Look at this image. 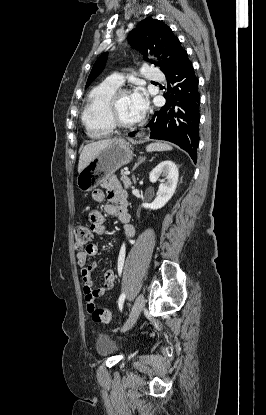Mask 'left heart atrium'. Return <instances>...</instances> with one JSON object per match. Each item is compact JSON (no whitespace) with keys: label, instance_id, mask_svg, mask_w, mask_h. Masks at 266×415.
Returning <instances> with one entry per match:
<instances>
[{"label":"left heart atrium","instance_id":"left-heart-atrium-1","mask_svg":"<svg viewBox=\"0 0 266 415\" xmlns=\"http://www.w3.org/2000/svg\"><path fill=\"white\" fill-rule=\"evenodd\" d=\"M131 101L135 110L143 115L147 109V100L141 90L134 91L131 95Z\"/></svg>","mask_w":266,"mask_h":415}]
</instances>
